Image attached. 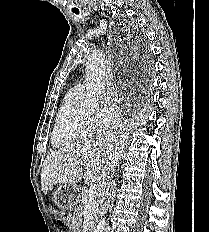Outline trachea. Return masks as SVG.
<instances>
[{
	"label": "trachea",
	"mask_w": 209,
	"mask_h": 232,
	"mask_svg": "<svg viewBox=\"0 0 209 232\" xmlns=\"http://www.w3.org/2000/svg\"><path fill=\"white\" fill-rule=\"evenodd\" d=\"M74 13H75V14H79V12H78V11H75Z\"/></svg>",
	"instance_id": "1"
}]
</instances>
